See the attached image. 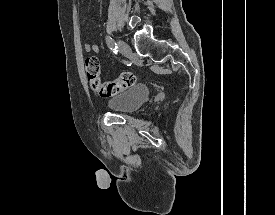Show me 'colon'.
Here are the masks:
<instances>
[{
  "instance_id": "obj_1",
  "label": "colon",
  "mask_w": 275,
  "mask_h": 215,
  "mask_svg": "<svg viewBox=\"0 0 275 215\" xmlns=\"http://www.w3.org/2000/svg\"><path fill=\"white\" fill-rule=\"evenodd\" d=\"M85 70L92 90L103 98H109L113 94L120 93L133 86L136 82V76L132 72H122L118 78L111 81L101 80L99 76L100 64L95 56L86 58Z\"/></svg>"
}]
</instances>
